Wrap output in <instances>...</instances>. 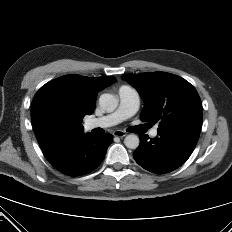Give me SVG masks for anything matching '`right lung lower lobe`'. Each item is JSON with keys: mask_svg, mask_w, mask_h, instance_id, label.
<instances>
[{"mask_svg": "<svg viewBox=\"0 0 232 232\" xmlns=\"http://www.w3.org/2000/svg\"><path fill=\"white\" fill-rule=\"evenodd\" d=\"M112 140L111 134H54L39 145L55 169L69 176H80L100 165Z\"/></svg>", "mask_w": 232, "mask_h": 232, "instance_id": "1", "label": "right lung lower lobe"}]
</instances>
